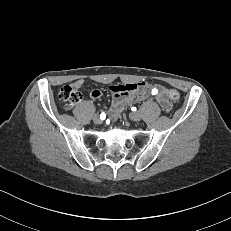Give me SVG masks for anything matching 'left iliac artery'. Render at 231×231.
<instances>
[{
  "instance_id": "left-iliac-artery-1",
  "label": "left iliac artery",
  "mask_w": 231,
  "mask_h": 231,
  "mask_svg": "<svg viewBox=\"0 0 231 231\" xmlns=\"http://www.w3.org/2000/svg\"><path fill=\"white\" fill-rule=\"evenodd\" d=\"M151 93H152V95H156L158 93V90L156 88H154Z\"/></svg>"
}]
</instances>
